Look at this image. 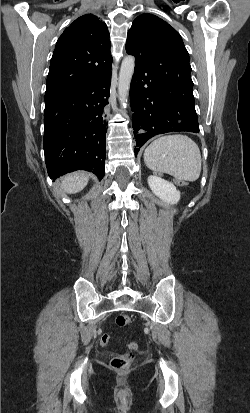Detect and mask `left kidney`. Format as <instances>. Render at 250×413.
Returning a JSON list of instances; mask_svg holds the SVG:
<instances>
[{
  "instance_id": "5707ae66",
  "label": "left kidney",
  "mask_w": 250,
  "mask_h": 413,
  "mask_svg": "<svg viewBox=\"0 0 250 413\" xmlns=\"http://www.w3.org/2000/svg\"><path fill=\"white\" fill-rule=\"evenodd\" d=\"M148 185L152 192L167 204H177L180 200V191L171 183L157 175L148 177Z\"/></svg>"
}]
</instances>
